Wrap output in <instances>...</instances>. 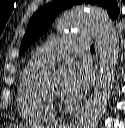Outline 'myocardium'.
Here are the masks:
<instances>
[{"mask_svg": "<svg viewBox=\"0 0 125 128\" xmlns=\"http://www.w3.org/2000/svg\"><path fill=\"white\" fill-rule=\"evenodd\" d=\"M42 95L44 97V99L51 105H55L56 104V98L55 96H51V95H48L46 92L42 91Z\"/></svg>", "mask_w": 125, "mask_h": 128, "instance_id": "obj_1", "label": "myocardium"}]
</instances>
